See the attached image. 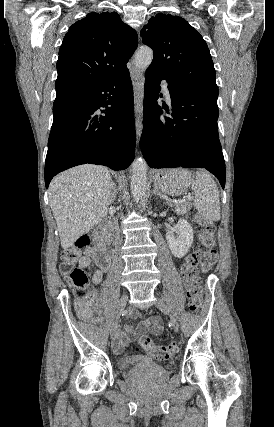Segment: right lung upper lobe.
Masks as SVG:
<instances>
[{
  "mask_svg": "<svg viewBox=\"0 0 274 427\" xmlns=\"http://www.w3.org/2000/svg\"><path fill=\"white\" fill-rule=\"evenodd\" d=\"M137 44V33L116 12H92L74 23L59 50L54 103L119 79Z\"/></svg>",
  "mask_w": 274,
  "mask_h": 427,
  "instance_id": "1",
  "label": "right lung upper lobe"
}]
</instances>
